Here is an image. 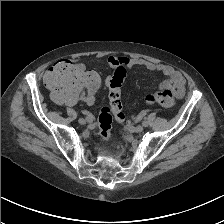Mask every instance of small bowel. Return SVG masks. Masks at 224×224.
<instances>
[{"label":"small bowel","mask_w":224,"mask_h":224,"mask_svg":"<svg viewBox=\"0 0 224 224\" xmlns=\"http://www.w3.org/2000/svg\"><path fill=\"white\" fill-rule=\"evenodd\" d=\"M107 63L114 69L119 67L130 69L134 66H142L149 71L160 72L166 77V79L160 83L161 90H170L176 98L183 97L185 93L184 77L180 72L168 65L153 63L142 58H131L126 56H109Z\"/></svg>","instance_id":"c3829d8e"}]
</instances>
